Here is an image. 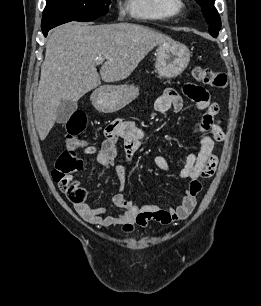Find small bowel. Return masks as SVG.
<instances>
[{"mask_svg": "<svg viewBox=\"0 0 261 306\" xmlns=\"http://www.w3.org/2000/svg\"><path fill=\"white\" fill-rule=\"evenodd\" d=\"M183 93L204 113L198 130L200 148L187 155L180 171V177L189 181L182 201L176 207L168 209L158 205L140 206L123 194L117 193L113 197V204L122 210L119 213L108 214L106 207H93L85 201L75 203L76 211L84 220L101 227L120 225L125 232H131L136 225L146 227L151 221L167 225L184 220L192 213L196 206V197L201 190L200 178L211 176L216 169L217 159L213 155V150L215 142L224 141V133L216 119L218 105L211 102L209 93L203 87L187 84L183 87ZM182 108V96L174 89H167L155 101V109L160 113L170 110L180 112ZM105 135L106 138L98 149L87 148L86 152L94 153L97 162L105 168H114L121 187L126 180L127 164L131 162L135 152L146 138V133L132 122L116 120L105 128ZM119 140L124 143L126 164H115L116 145ZM84 146L86 142L80 140L78 147ZM154 161L159 169L169 171V164L164 156L158 155Z\"/></svg>", "mask_w": 261, "mask_h": 306, "instance_id": "c3829d8e", "label": "small bowel"}]
</instances>
